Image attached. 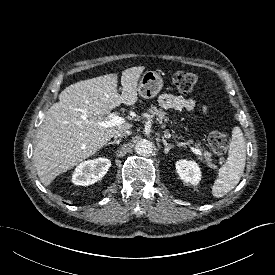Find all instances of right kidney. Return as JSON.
Instances as JSON below:
<instances>
[{
  "label": "right kidney",
  "instance_id": "ca27d5eb",
  "mask_svg": "<svg viewBox=\"0 0 275 275\" xmlns=\"http://www.w3.org/2000/svg\"><path fill=\"white\" fill-rule=\"evenodd\" d=\"M111 161L107 158H96L80 163L72 176L75 185L87 186L96 183L108 171Z\"/></svg>",
  "mask_w": 275,
  "mask_h": 275
}]
</instances>
